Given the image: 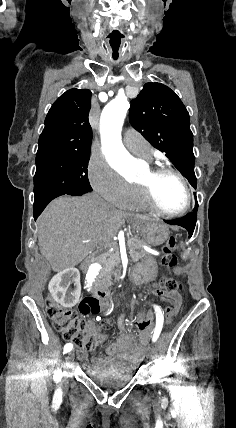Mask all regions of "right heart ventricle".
Instances as JSON below:
<instances>
[{
  "label": "right heart ventricle",
  "mask_w": 236,
  "mask_h": 428,
  "mask_svg": "<svg viewBox=\"0 0 236 428\" xmlns=\"http://www.w3.org/2000/svg\"><path fill=\"white\" fill-rule=\"evenodd\" d=\"M123 208L129 210H140V211H154L144 201L140 188L138 186H131V194Z\"/></svg>",
  "instance_id": "e07e8e85"
}]
</instances>
